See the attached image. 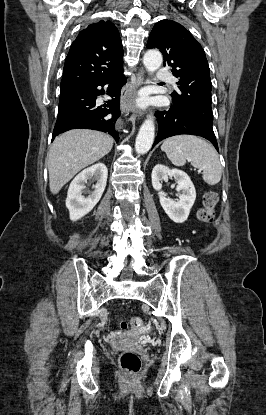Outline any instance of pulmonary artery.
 Masks as SVG:
<instances>
[{
	"instance_id": "e3ab8cb5",
	"label": "pulmonary artery",
	"mask_w": 266,
	"mask_h": 415,
	"mask_svg": "<svg viewBox=\"0 0 266 415\" xmlns=\"http://www.w3.org/2000/svg\"><path fill=\"white\" fill-rule=\"evenodd\" d=\"M157 78L161 81L173 83L175 81L174 77L165 69L161 68L157 71Z\"/></svg>"
}]
</instances>
